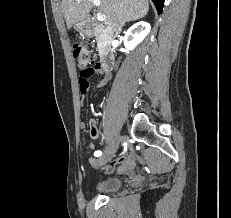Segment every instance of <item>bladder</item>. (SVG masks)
<instances>
[{"mask_svg": "<svg viewBox=\"0 0 231 218\" xmlns=\"http://www.w3.org/2000/svg\"><path fill=\"white\" fill-rule=\"evenodd\" d=\"M122 181L115 177L106 178L100 181L96 186V191L103 194L116 192L120 189Z\"/></svg>", "mask_w": 231, "mask_h": 218, "instance_id": "1", "label": "bladder"}]
</instances>
